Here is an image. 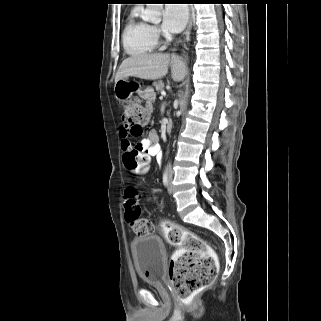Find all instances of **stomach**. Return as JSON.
I'll return each instance as SVG.
<instances>
[{"instance_id":"obj_1","label":"stomach","mask_w":321,"mask_h":321,"mask_svg":"<svg viewBox=\"0 0 321 321\" xmlns=\"http://www.w3.org/2000/svg\"><path fill=\"white\" fill-rule=\"evenodd\" d=\"M115 94L119 100H126L134 91H139L140 86L134 81H129L128 78H123L115 82Z\"/></svg>"}]
</instances>
